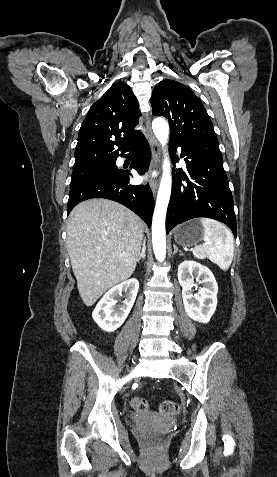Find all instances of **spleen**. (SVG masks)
<instances>
[{
    "label": "spleen",
    "mask_w": 277,
    "mask_h": 477,
    "mask_svg": "<svg viewBox=\"0 0 277 477\" xmlns=\"http://www.w3.org/2000/svg\"><path fill=\"white\" fill-rule=\"evenodd\" d=\"M204 228L205 243L193 249V255L198 259L208 258L217 264L221 270L227 271L234 256V241L231 232L221 223L209 219H200Z\"/></svg>",
    "instance_id": "obj_1"
}]
</instances>
